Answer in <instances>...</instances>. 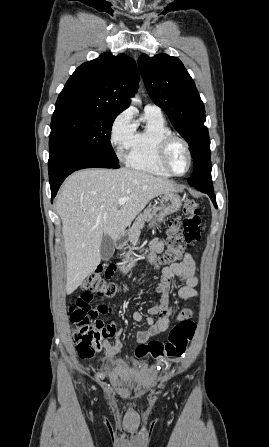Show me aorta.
Returning a JSON list of instances; mask_svg holds the SVG:
<instances>
[{"mask_svg": "<svg viewBox=\"0 0 269 447\" xmlns=\"http://www.w3.org/2000/svg\"><path fill=\"white\" fill-rule=\"evenodd\" d=\"M133 104H140L141 100H139L138 96L137 98H131Z\"/></svg>", "mask_w": 269, "mask_h": 447, "instance_id": "obj_1", "label": "aorta"}]
</instances>
